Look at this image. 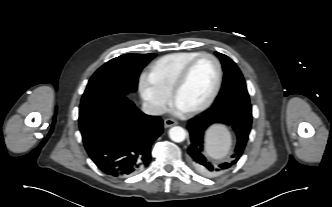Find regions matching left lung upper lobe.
<instances>
[{"label":"left lung upper lobe","mask_w":332,"mask_h":207,"mask_svg":"<svg viewBox=\"0 0 332 207\" xmlns=\"http://www.w3.org/2000/svg\"><path fill=\"white\" fill-rule=\"evenodd\" d=\"M215 54L222 63L224 79L213 106L230 101L250 102L245 80L237 65L228 56L218 52Z\"/></svg>","instance_id":"left-lung-upper-lobe-1"}]
</instances>
